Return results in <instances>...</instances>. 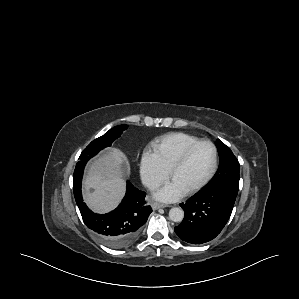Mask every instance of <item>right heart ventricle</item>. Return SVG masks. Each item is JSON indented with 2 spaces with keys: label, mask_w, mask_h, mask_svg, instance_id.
Segmentation results:
<instances>
[{
  "label": "right heart ventricle",
  "mask_w": 299,
  "mask_h": 299,
  "mask_svg": "<svg viewBox=\"0 0 299 299\" xmlns=\"http://www.w3.org/2000/svg\"><path fill=\"white\" fill-rule=\"evenodd\" d=\"M197 141L195 136L176 132L155 139L151 147L160 164L169 172L184 150Z\"/></svg>",
  "instance_id": "right-heart-ventricle-1"
}]
</instances>
